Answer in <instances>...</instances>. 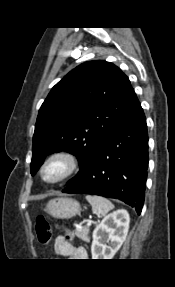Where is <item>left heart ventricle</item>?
I'll return each mask as SVG.
<instances>
[{"label": "left heart ventricle", "mask_w": 175, "mask_h": 287, "mask_svg": "<svg viewBox=\"0 0 175 287\" xmlns=\"http://www.w3.org/2000/svg\"><path fill=\"white\" fill-rule=\"evenodd\" d=\"M65 163L62 161H54L51 164H49L45 171L44 176L48 180H53L58 178L65 170Z\"/></svg>", "instance_id": "obj_1"}]
</instances>
